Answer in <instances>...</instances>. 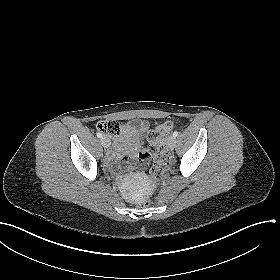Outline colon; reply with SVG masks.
<instances>
[{
    "label": "colon",
    "mask_w": 280,
    "mask_h": 280,
    "mask_svg": "<svg viewBox=\"0 0 280 280\" xmlns=\"http://www.w3.org/2000/svg\"><path fill=\"white\" fill-rule=\"evenodd\" d=\"M172 127V122L167 121L150 130L147 134L150 150L153 155V165L149 170V174L155 179L162 178L169 166V155L165 145V137ZM97 129L110 136H118L121 131L120 125L115 121H101L98 123ZM151 204V199L146 197L140 201L139 206L141 208H147Z\"/></svg>",
    "instance_id": "colon-1"
}]
</instances>
